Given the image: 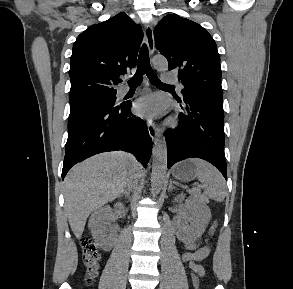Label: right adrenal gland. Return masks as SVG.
Returning a JSON list of instances; mask_svg holds the SVG:
<instances>
[{"label":"right adrenal gland","mask_w":293,"mask_h":289,"mask_svg":"<svg viewBox=\"0 0 293 289\" xmlns=\"http://www.w3.org/2000/svg\"><path fill=\"white\" fill-rule=\"evenodd\" d=\"M123 196H125V198L128 199V198L130 197V192L126 190L125 192H123V193L120 195V197H123Z\"/></svg>","instance_id":"obj_1"}]
</instances>
